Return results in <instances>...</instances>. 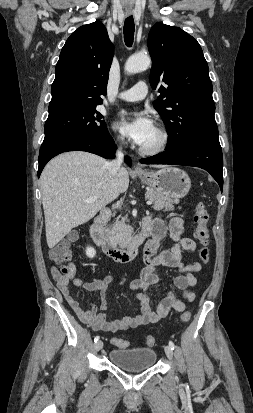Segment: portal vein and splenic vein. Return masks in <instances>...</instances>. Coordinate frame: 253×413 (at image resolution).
<instances>
[{"label": "portal vein and splenic vein", "mask_w": 253, "mask_h": 413, "mask_svg": "<svg viewBox=\"0 0 253 413\" xmlns=\"http://www.w3.org/2000/svg\"><path fill=\"white\" fill-rule=\"evenodd\" d=\"M96 199H97V197L94 196V197H91V198L87 199V202H91V201H94ZM147 205H149V206L152 205V201L151 200L147 201Z\"/></svg>", "instance_id": "obj_1"}]
</instances>
